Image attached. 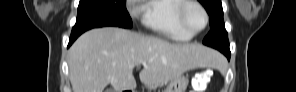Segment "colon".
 Here are the masks:
<instances>
[{
  "label": "colon",
  "instance_id": "1",
  "mask_svg": "<svg viewBox=\"0 0 296 92\" xmlns=\"http://www.w3.org/2000/svg\"><path fill=\"white\" fill-rule=\"evenodd\" d=\"M209 81V74L206 71L198 72L191 81L192 92H205Z\"/></svg>",
  "mask_w": 296,
  "mask_h": 92
}]
</instances>
